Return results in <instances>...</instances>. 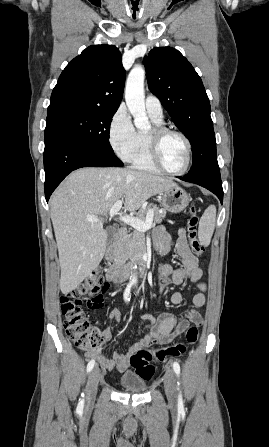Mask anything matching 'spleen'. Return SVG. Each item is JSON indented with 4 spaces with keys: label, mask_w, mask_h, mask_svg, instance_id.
I'll return each instance as SVG.
<instances>
[{
    "label": "spleen",
    "mask_w": 269,
    "mask_h": 447,
    "mask_svg": "<svg viewBox=\"0 0 269 447\" xmlns=\"http://www.w3.org/2000/svg\"><path fill=\"white\" fill-rule=\"evenodd\" d=\"M215 222L216 208L215 206H209V208L205 210L199 222L198 237L201 245H205V247L209 245L211 237L213 235V231L215 229Z\"/></svg>",
    "instance_id": "3e777b00"
}]
</instances>
